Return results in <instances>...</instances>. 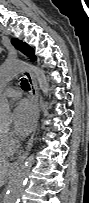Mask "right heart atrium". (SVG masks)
I'll list each match as a JSON object with an SVG mask.
<instances>
[{"label":"right heart atrium","instance_id":"right-heart-atrium-1","mask_svg":"<svg viewBox=\"0 0 89 203\" xmlns=\"http://www.w3.org/2000/svg\"><path fill=\"white\" fill-rule=\"evenodd\" d=\"M6 140H7L8 144H9L11 147L15 148V146H16V144H17V140L13 137V135L7 134V135H6Z\"/></svg>","mask_w":89,"mask_h":203}]
</instances>
